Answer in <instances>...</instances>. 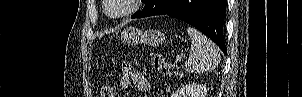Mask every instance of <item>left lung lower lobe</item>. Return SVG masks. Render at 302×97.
<instances>
[{"label":"left lung lower lobe","instance_id":"left-lung-lower-lobe-1","mask_svg":"<svg viewBox=\"0 0 302 97\" xmlns=\"http://www.w3.org/2000/svg\"><path fill=\"white\" fill-rule=\"evenodd\" d=\"M227 0H151L132 18L169 15L189 23L215 42L226 53L223 22Z\"/></svg>","mask_w":302,"mask_h":97}]
</instances>
